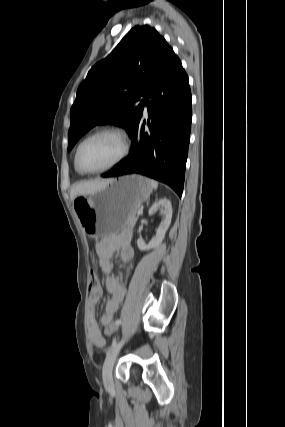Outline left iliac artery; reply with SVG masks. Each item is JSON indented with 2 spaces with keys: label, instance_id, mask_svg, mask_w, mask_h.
Instances as JSON below:
<instances>
[{
  "label": "left iliac artery",
  "instance_id": "44dca946",
  "mask_svg": "<svg viewBox=\"0 0 285 427\" xmlns=\"http://www.w3.org/2000/svg\"><path fill=\"white\" fill-rule=\"evenodd\" d=\"M117 324H118V325H119V324H121V320H118V321H117ZM115 344H116V338H114V339H113L112 347H113Z\"/></svg>",
  "mask_w": 285,
  "mask_h": 427
}]
</instances>
